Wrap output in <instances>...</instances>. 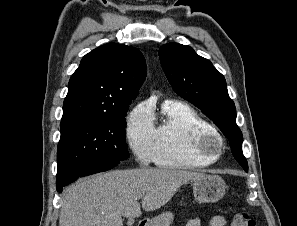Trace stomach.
I'll return each mask as SVG.
<instances>
[{"instance_id":"stomach-1","label":"stomach","mask_w":297,"mask_h":226,"mask_svg":"<svg viewBox=\"0 0 297 226\" xmlns=\"http://www.w3.org/2000/svg\"><path fill=\"white\" fill-rule=\"evenodd\" d=\"M195 199L200 203H214L225 194V181L218 175H205L192 182ZM173 221L171 212H163L146 223V226H170Z\"/></svg>"}]
</instances>
